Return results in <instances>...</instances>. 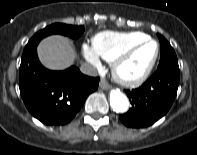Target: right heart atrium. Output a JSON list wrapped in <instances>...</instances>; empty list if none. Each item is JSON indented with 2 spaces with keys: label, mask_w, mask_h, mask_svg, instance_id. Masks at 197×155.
I'll list each match as a JSON object with an SVG mask.
<instances>
[{
  "label": "right heart atrium",
  "mask_w": 197,
  "mask_h": 155,
  "mask_svg": "<svg viewBox=\"0 0 197 155\" xmlns=\"http://www.w3.org/2000/svg\"><path fill=\"white\" fill-rule=\"evenodd\" d=\"M82 52L84 57L93 65L98 66L100 64L99 56L96 54L94 49L87 44L82 45Z\"/></svg>",
  "instance_id": "1"
}]
</instances>
